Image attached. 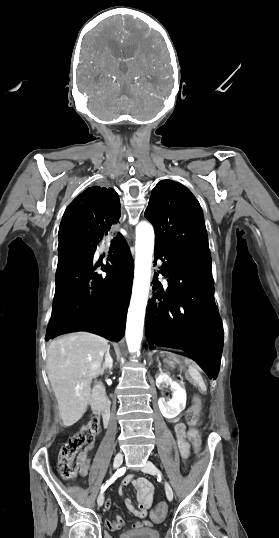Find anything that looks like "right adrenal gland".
Instances as JSON below:
<instances>
[{"mask_svg":"<svg viewBox=\"0 0 279 538\" xmlns=\"http://www.w3.org/2000/svg\"><path fill=\"white\" fill-rule=\"evenodd\" d=\"M112 358L110 356V346H108V350H107V354L105 356V362L102 366V372H105V370H107V368H111L112 366Z\"/></svg>","mask_w":279,"mask_h":538,"instance_id":"obj_1","label":"right adrenal gland"}]
</instances>
